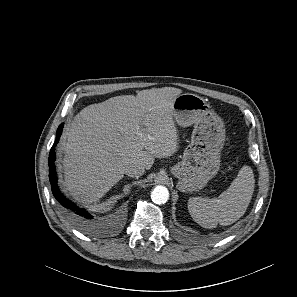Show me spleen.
<instances>
[{
    "label": "spleen",
    "mask_w": 297,
    "mask_h": 297,
    "mask_svg": "<svg viewBox=\"0 0 297 297\" xmlns=\"http://www.w3.org/2000/svg\"><path fill=\"white\" fill-rule=\"evenodd\" d=\"M255 178L250 166H243L230 187L218 198L194 197L188 200L191 217L204 228L228 226L240 219L252 199Z\"/></svg>",
    "instance_id": "spleen-1"
}]
</instances>
